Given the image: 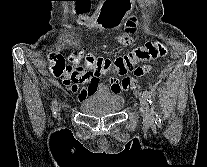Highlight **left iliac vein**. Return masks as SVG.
Listing matches in <instances>:
<instances>
[{
  "label": "left iliac vein",
  "mask_w": 207,
  "mask_h": 167,
  "mask_svg": "<svg viewBox=\"0 0 207 167\" xmlns=\"http://www.w3.org/2000/svg\"><path fill=\"white\" fill-rule=\"evenodd\" d=\"M140 105H141V111L143 114L144 121L146 123H152V117L149 114L148 103L144 97L140 98Z\"/></svg>",
  "instance_id": "left-iliac-vein-1"
}]
</instances>
